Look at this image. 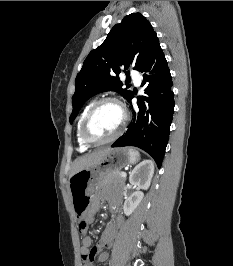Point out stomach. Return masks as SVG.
<instances>
[{"label":"stomach","mask_w":233,"mask_h":266,"mask_svg":"<svg viewBox=\"0 0 233 266\" xmlns=\"http://www.w3.org/2000/svg\"><path fill=\"white\" fill-rule=\"evenodd\" d=\"M133 161L125 148L111 149L96 165L83 169L69 179V189L75 218L82 220L90 200L100 186L102 176L107 172L120 171Z\"/></svg>","instance_id":"0dacf381"}]
</instances>
